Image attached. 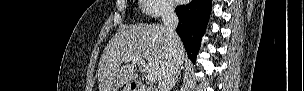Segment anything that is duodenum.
Wrapping results in <instances>:
<instances>
[{
	"label": "duodenum",
	"mask_w": 304,
	"mask_h": 91,
	"mask_svg": "<svg viewBox=\"0 0 304 91\" xmlns=\"http://www.w3.org/2000/svg\"><path fill=\"white\" fill-rule=\"evenodd\" d=\"M130 91H151V89L146 88L142 83L140 82H134L131 84Z\"/></svg>",
	"instance_id": "obj_1"
}]
</instances>
